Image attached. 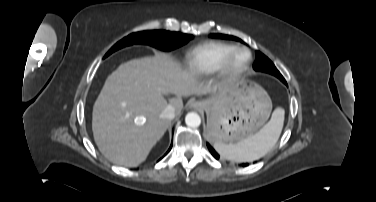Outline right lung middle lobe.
<instances>
[{
	"instance_id": "obj_1",
	"label": "right lung middle lobe",
	"mask_w": 376,
	"mask_h": 202,
	"mask_svg": "<svg viewBox=\"0 0 376 202\" xmlns=\"http://www.w3.org/2000/svg\"><path fill=\"white\" fill-rule=\"evenodd\" d=\"M192 38V35L164 30L141 31L132 33L116 43L107 52L104 58L114 51L132 44H148L162 50L170 51L186 44Z\"/></svg>"
}]
</instances>
